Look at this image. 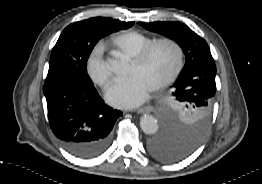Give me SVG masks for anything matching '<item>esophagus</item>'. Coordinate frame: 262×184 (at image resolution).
I'll return each mask as SVG.
<instances>
[{
	"instance_id": "34e87169",
	"label": "esophagus",
	"mask_w": 262,
	"mask_h": 184,
	"mask_svg": "<svg viewBox=\"0 0 262 184\" xmlns=\"http://www.w3.org/2000/svg\"><path fill=\"white\" fill-rule=\"evenodd\" d=\"M153 106L152 105H146V106H143L139 109H137V113L138 114H142V113H149L151 111H153Z\"/></svg>"
}]
</instances>
